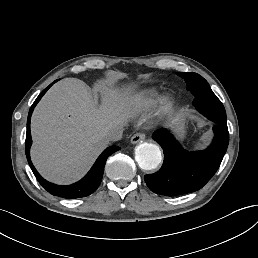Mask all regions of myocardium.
<instances>
[{
	"label": "myocardium",
	"mask_w": 258,
	"mask_h": 258,
	"mask_svg": "<svg viewBox=\"0 0 258 258\" xmlns=\"http://www.w3.org/2000/svg\"><path fill=\"white\" fill-rule=\"evenodd\" d=\"M171 106V100L168 97H163L159 102V111L165 113ZM147 122L152 129H155L156 117L150 116L147 118Z\"/></svg>",
	"instance_id": "obj_1"
}]
</instances>
